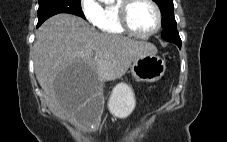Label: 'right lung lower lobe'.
I'll use <instances>...</instances> for the list:
<instances>
[{
	"instance_id": "1",
	"label": "right lung lower lobe",
	"mask_w": 227,
	"mask_h": 142,
	"mask_svg": "<svg viewBox=\"0 0 227 142\" xmlns=\"http://www.w3.org/2000/svg\"><path fill=\"white\" fill-rule=\"evenodd\" d=\"M40 25H41V24L38 23V24H37V27H39Z\"/></svg>"
}]
</instances>
